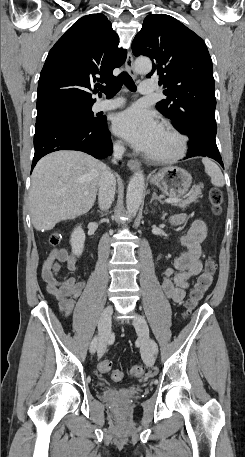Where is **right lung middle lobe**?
Segmentation results:
<instances>
[{
    "label": "right lung middle lobe",
    "mask_w": 245,
    "mask_h": 457,
    "mask_svg": "<svg viewBox=\"0 0 245 457\" xmlns=\"http://www.w3.org/2000/svg\"><path fill=\"white\" fill-rule=\"evenodd\" d=\"M94 102L90 100L68 101L54 109L38 112L36 121L58 115H73L84 119H91L95 117L91 110Z\"/></svg>",
    "instance_id": "dd1d6c3e"
}]
</instances>
